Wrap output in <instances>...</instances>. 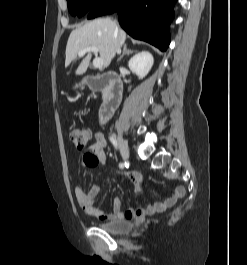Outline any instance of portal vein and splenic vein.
I'll return each instance as SVG.
<instances>
[{"label": "portal vein and splenic vein", "mask_w": 247, "mask_h": 265, "mask_svg": "<svg viewBox=\"0 0 247 265\" xmlns=\"http://www.w3.org/2000/svg\"><path fill=\"white\" fill-rule=\"evenodd\" d=\"M98 51H99V48L98 47H96V46H89V47H86L83 50L79 51L78 52V55L79 56H83L87 52H94L96 54V53H98ZM93 66L95 68H102L103 67V60L101 58H95L93 60Z\"/></svg>", "instance_id": "1"}]
</instances>
